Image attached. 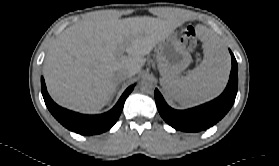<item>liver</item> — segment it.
I'll list each match as a JSON object with an SVG mask.
<instances>
[{
  "label": "liver",
  "instance_id": "1",
  "mask_svg": "<svg viewBox=\"0 0 279 166\" xmlns=\"http://www.w3.org/2000/svg\"><path fill=\"white\" fill-rule=\"evenodd\" d=\"M181 22L174 12L164 18L119 19L99 12L66 28L50 48L44 78L51 97L59 105L81 113H96L112 97L118 81L115 73L124 67L138 73L145 55ZM124 44L126 56L117 54Z\"/></svg>",
  "mask_w": 279,
  "mask_h": 166
}]
</instances>
